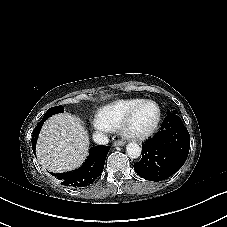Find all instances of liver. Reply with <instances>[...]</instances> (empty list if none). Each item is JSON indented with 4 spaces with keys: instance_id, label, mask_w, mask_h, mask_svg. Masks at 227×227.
<instances>
[{
    "instance_id": "obj_1",
    "label": "liver",
    "mask_w": 227,
    "mask_h": 227,
    "mask_svg": "<svg viewBox=\"0 0 227 227\" xmlns=\"http://www.w3.org/2000/svg\"><path fill=\"white\" fill-rule=\"evenodd\" d=\"M88 148V133L81 121L69 113H61L44 123L36 155L43 168L60 173L79 167L88 155Z\"/></svg>"
}]
</instances>
